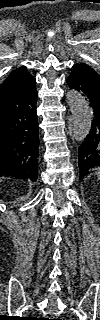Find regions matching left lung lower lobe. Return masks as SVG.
Here are the masks:
<instances>
[{
  "label": "left lung lower lobe",
  "instance_id": "1",
  "mask_svg": "<svg viewBox=\"0 0 100 320\" xmlns=\"http://www.w3.org/2000/svg\"><path fill=\"white\" fill-rule=\"evenodd\" d=\"M67 84L85 97L93 114L91 129L79 147L80 179H83L93 168L100 167V85L76 70H72Z\"/></svg>",
  "mask_w": 100,
  "mask_h": 320
}]
</instances>
